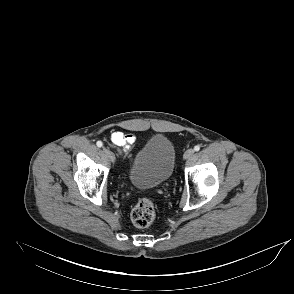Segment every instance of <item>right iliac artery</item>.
Instances as JSON below:
<instances>
[{
	"mask_svg": "<svg viewBox=\"0 0 294 294\" xmlns=\"http://www.w3.org/2000/svg\"><path fill=\"white\" fill-rule=\"evenodd\" d=\"M96 145H97L98 147H102V146H103V143H102L101 141H97Z\"/></svg>",
	"mask_w": 294,
	"mask_h": 294,
	"instance_id": "right-iliac-artery-1",
	"label": "right iliac artery"
}]
</instances>
